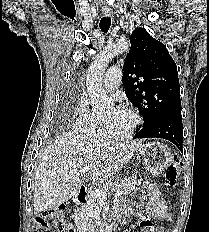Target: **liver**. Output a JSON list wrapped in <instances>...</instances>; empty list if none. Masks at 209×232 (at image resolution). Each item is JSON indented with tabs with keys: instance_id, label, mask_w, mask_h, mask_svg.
<instances>
[{
	"instance_id": "obj_1",
	"label": "liver",
	"mask_w": 209,
	"mask_h": 232,
	"mask_svg": "<svg viewBox=\"0 0 209 232\" xmlns=\"http://www.w3.org/2000/svg\"><path fill=\"white\" fill-rule=\"evenodd\" d=\"M141 142H117L63 133L43 153L36 167L33 206L35 214L54 209L76 195L79 173L90 166L100 184H108L134 155Z\"/></svg>"
}]
</instances>
